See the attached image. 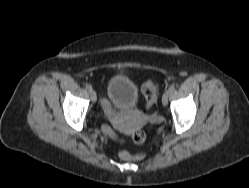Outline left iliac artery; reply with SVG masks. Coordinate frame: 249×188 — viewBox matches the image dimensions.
Instances as JSON below:
<instances>
[{"label": "left iliac artery", "instance_id": "44dca946", "mask_svg": "<svg viewBox=\"0 0 249 188\" xmlns=\"http://www.w3.org/2000/svg\"><path fill=\"white\" fill-rule=\"evenodd\" d=\"M175 90V86L171 85L168 89L169 93L173 92Z\"/></svg>", "mask_w": 249, "mask_h": 188}]
</instances>
